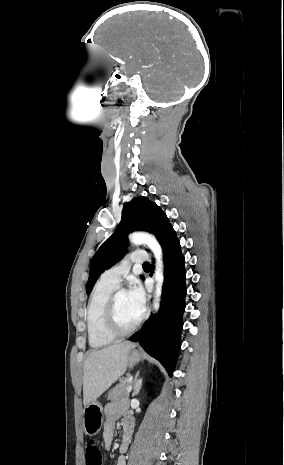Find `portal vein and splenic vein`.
Masks as SVG:
<instances>
[{"label": "portal vein and splenic vein", "instance_id": "18ae733b", "mask_svg": "<svg viewBox=\"0 0 284 465\" xmlns=\"http://www.w3.org/2000/svg\"><path fill=\"white\" fill-rule=\"evenodd\" d=\"M130 391H132V387H129V389H127V393H130Z\"/></svg>", "mask_w": 284, "mask_h": 465}]
</instances>
